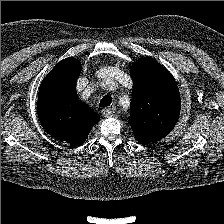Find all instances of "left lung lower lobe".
Returning <instances> with one entry per match:
<instances>
[{"mask_svg":"<svg viewBox=\"0 0 224 224\" xmlns=\"http://www.w3.org/2000/svg\"><path fill=\"white\" fill-rule=\"evenodd\" d=\"M134 136H135V138L137 139V141H138L139 143H142V144H149V143H151V142H149L148 139H146V138H145L144 136H142V135L134 134Z\"/></svg>","mask_w":224,"mask_h":224,"instance_id":"left-lung-lower-lobe-1","label":"left lung lower lobe"}]
</instances>
